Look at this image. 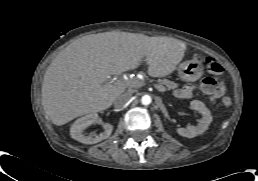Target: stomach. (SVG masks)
<instances>
[{
	"label": "stomach",
	"instance_id": "obj_1",
	"mask_svg": "<svg viewBox=\"0 0 258 181\" xmlns=\"http://www.w3.org/2000/svg\"><path fill=\"white\" fill-rule=\"evenodd\" d=\"M202 70V63L196 59L185 61L178 66L179 76L187 81L196 79L202 73Z\"/></svg>",
	"mask_w": 258,
	"mask_h": 181
}]
</instances>
